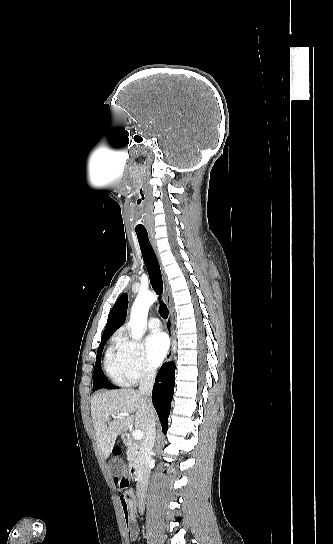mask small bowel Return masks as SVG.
Instances as JSON below:
<instances>
[{"label":"small bowel","mask_w":333,"mask_h":544,"mask_svg":"<svg viewBox=\"0 0 333 544\" xmlns=\"http://www.w3.org/2000/svg\"><path fill=\"white\" fill-rule=\"evenodd\" d=\"M120 505L126 521V530L130 540L136 539L139 527L136 521L137 504L133 490H128L120 496Z\"/></svg>","instance_id":"1"}]
</instances>
